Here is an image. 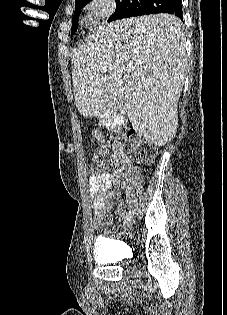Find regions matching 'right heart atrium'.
Masks as SVG:
<instances>
[{
  "label": "right heart atrium",
  "mask_w": 227,
  "mask_h": 315,
  "mask_svg": "<svg viewBox=\"0 0 227 315\" xmlns=\"http://www.w3.org/2000/svg\"><path fill=\"white\" fill-rule=\"evenodd\" d=\"M87 9L96 24L103 23L115 10V0H90Z\"/></svg>",
  "instance_id": "obj_1"
}]
</instances>
